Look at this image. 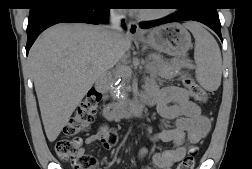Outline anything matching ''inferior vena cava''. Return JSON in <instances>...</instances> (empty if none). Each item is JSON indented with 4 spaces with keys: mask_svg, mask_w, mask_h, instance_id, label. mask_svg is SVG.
Segmentation results:
<instances>
[{
    "mask_svg": "<svg viewBox=\"0 0 252 169\" xmlns=\"http://www.w3.org/2000/svg\"><path fill=\"white\" fill-rule=\"evenodd\" d=\"M124 18L123 9H110L109 25L106 27V35L115 42H119L123 35L121 21Z\"/></svg>",
    "mask_w": 252,
    "mask_h": 169,
    "instance_id": "602c4592",
    "label": "inferior vena cava"
}]
</instances>
